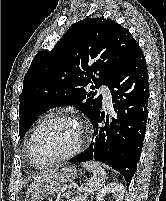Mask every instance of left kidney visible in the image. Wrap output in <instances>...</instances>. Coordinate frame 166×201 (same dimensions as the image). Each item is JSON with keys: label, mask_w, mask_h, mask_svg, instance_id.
<instances>
[{"label": "left kidney", "mask_w": 166, "mask_h": 201, "mask_svg": "<svg viewBox=\"0 0 166 201\" xmlns=\"http://www.w3.org/2000/svg\"><path fill=\"white\" fill-rule=\"evenodd\" d=\"M110 192L115 195L116 201H123L125 189L124 186L118 182L110 183L102 188L98 193L96 201H103L105 195Z\"/></svg>", "instance_id": "5707ae66"}]
</instances>
